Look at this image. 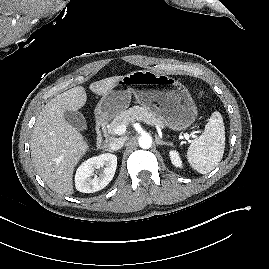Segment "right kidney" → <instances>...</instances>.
<instances>
[{
	"label": "right kidney",
	"instance_id": "obj_1",
	"mask_svg": "<svg viewBox=\"0 0 269 269\" xmlns=\"http://www.w3.org/2000/svg\"><path fill=\"white\" fill-rule=\"evenodd\" d=\"M104 167L100 176H94V170ZM117 167V157L110 153L89 158L77 169L75 175L76 189L83 193H93L105 188L113 179Z\"/></svg>",
	"mask_w": 269,
	"mask_h": 269
}]
</instances>
